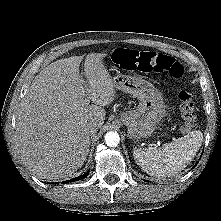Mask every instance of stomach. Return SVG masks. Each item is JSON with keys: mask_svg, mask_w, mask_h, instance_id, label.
Returning <instances> with one entry per match:
<instances>
[{"mask_svg": "<svg viewBox=\"0 0 221 221\" xmlns=\"http://www.w3.org/2000/svg\"><path fill=\"white\" fill-rule=\"evenodd\" d=\"M116 89L136 97L139 101L134 110L121 113L120 119L127 127L128 137L139 140L150 136L165 116V104L161 93L138 76L118 74L113 77Z\"/></svg>", "mask_w": 221, "mask_h": 221, "instance_id": "1", "label": "stomach"}]
</instances>
